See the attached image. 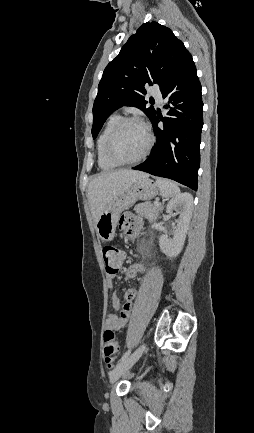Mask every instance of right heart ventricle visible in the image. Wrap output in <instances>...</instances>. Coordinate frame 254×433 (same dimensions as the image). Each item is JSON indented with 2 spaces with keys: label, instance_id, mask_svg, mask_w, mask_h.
<instances>
[{
  "label": "right heart ventricle",
  "instance_id": "e07e8e85",
  "mask_svg": "<svg viewBox=\"0 0 254 433\" xmlns=\"http://www.w3.org/2000/svg\"><path fill=\"white\" fill-rule=\"evenodd\" d=\"M121 119V116H119L118 114H113L112 116H110L97 140V162L100 169L104 171L113 170L117 167V165L113 164L106 158L105 144L110 132Z\"/></svg>",
  "mask_w": 254,
  "mask_h": 433
}]
</instances>
